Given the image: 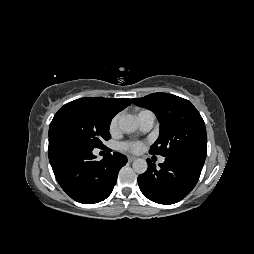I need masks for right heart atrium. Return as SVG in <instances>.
I'll return each instance as SVG.
<instances>
[{
  "mask_svg": "<svg viewBox=\"0 0 254 254\" xmlns=\"http://www.w3.org/2000/svg\"><path fill=\"white\" fill-rule=\"evenodd\" d=\"M119 115L114 116L109 124V131L111 134H115L118 130Z\"/></svg>",
  "mask_w": 254,
  "mask_h": 254,
  "instance_id": "d8ad5b80",
  "label": "right heart atrium"
}]
</instances>
